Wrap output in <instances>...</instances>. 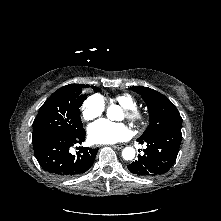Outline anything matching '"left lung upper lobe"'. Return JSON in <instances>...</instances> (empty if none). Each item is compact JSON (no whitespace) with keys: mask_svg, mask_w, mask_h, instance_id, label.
<instances>
[{"mask_svg":"<svg viewBox=\"0 0 221 221\" xmlns=\"http://www.w3.org/2000/svg\"><path fill=\"white\" fill-rule=\"evenodd\" d=\"M144 99L150 124L140 138H146L161 131L181 132L182 118L176 106L163 94L143 86L131 87Z\"/></svg>","mask_w":221,"mask_h":221,"instance_id":"left-lung-upper-lobe-1","label":"left lung upper lobe"}]
</instances>
